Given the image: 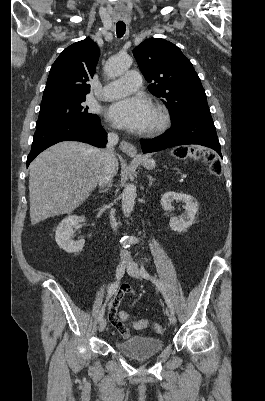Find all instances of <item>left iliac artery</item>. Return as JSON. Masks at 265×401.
<instances>
[{
    "label": "left iliac artery",
    "mask_w": 265,
    "mask_h": 401,
    "mask_svg": "<svg viewBox=\"0 0 265 401\" xmlns=\"http://www.w3.org/2000/svg\"><path fill=\"white\" fill-rule=\"evenodd\" d=\"M140 272H141V275H142L144 278H148V279H150L154 284H156V286L158 287V289H159V290L162 292V294L164 295L165 301H166V303H167V305H168L170 311L174 313V307H173V305H172L170 299H169L168 296H167V293H166V291H165V288H164V285L162 284V282H160L157 278L151 277V276L149 275V273H148L143 267L141 268V271H140Z\"/></svg>",
    "instance_id": "left-iliac-artery-1"
}]
</instances>
